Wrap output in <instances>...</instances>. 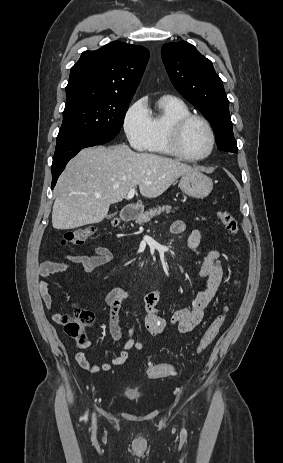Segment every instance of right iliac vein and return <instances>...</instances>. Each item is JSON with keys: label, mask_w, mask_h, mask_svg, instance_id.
I'll return each instance as SVG.
<instances>
[{"label": "right iliac vein", "mask_w": 283, "mask_h": 463, "mask_svg": "<svg viewBox=\"0 0 283 463\" xmlns=\"http://www.w3.org/2000/svg\"><path fill=\"white\" fill-rule=\"evenodd\" d=\"M96 420L95 417L93 418V427L95 428Z\"/></svg>", "instance_id": "obj_1"}]
</instances>
